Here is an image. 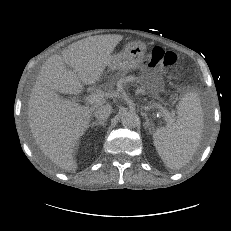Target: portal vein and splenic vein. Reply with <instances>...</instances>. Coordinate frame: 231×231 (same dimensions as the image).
<instances>
[{"label":"portal vein and splenic vein","mask_w":231,"mask_h":231,"mask_svg":"<svg viewBox=\"0 0 231 231\" xmlns=\"http://www.w3.org/2000/svg\"><path fill=\"white\" fill-rule=\"evenodd\" d=\"M103 99V94L102 93H92L91 95H89L86 98L87 103L89 104H94V103H98ZM147 109H149V107H146ZM160 111L162 112V114L166 117V120H171V116L168 110L164 109L163 107H159Z\"/></svg>","instance_id":"obj_1"}]
</instances>
